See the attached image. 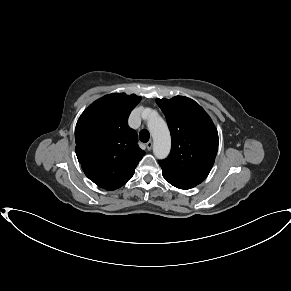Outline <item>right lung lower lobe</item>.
<instances>
[{"mask_svg": "<svg viewBox=\"0 0 291 291\" xmlns=\"http://www.w3.org/2000/svg\"><path fill=\"white\" fill-rule=\"evenodd\" d=\"M128 180H126L122 183H109V184H103V185H98V186L103 188V189H106V190H115V189H118L119 187H121L123 184H125Z\"/></svg>", "mask_w": 291, "mask_h": 291, "instance_id": "right-lung-lower-lobe-1", "label": "right lung lower lobe"}]
</instances>
